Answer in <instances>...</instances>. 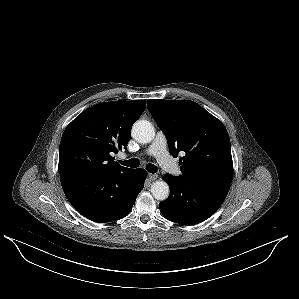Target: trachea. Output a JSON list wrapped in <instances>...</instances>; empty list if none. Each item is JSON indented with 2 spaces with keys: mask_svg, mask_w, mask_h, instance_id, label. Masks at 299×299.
Listing matches in <instances>:
<instances>
[{
  "mask_svg": "<svg viewBox=\"0 0 299 299\" xmlns=\"http://www.w3.org/2000/svg\"><path fill=\"white\" fill-rule=\"evenodd\" d=\"M119 163L131 168H136L140 165V162L137 158H132L125 161H119ZM146 170L150 173H155L157 171V167L154 164H147Z\"/></svg>",
  "mask_w": 299,
  "mask_h": 299,
  "instance_id": "1",
  "label": "trachea"
}]
</instances>
